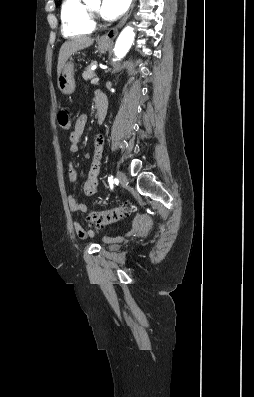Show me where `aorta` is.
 <instances>
[{"mask_svg": "<svg viewBox=\"0 0 254 397\" xmlns=\"http://www.w3.org/2000/svg\"><path fill=\"white\" fill-rule=\"evenodd\" d=\"M135 37L134 29L130 26L125 27L120 33L114 48L115 56L123 58L129 51Z\"/></svg>", "mask_w": 254, "mask_h": 397, "instance_id": "obj_1", "label": "aorta"}]
</instances>
